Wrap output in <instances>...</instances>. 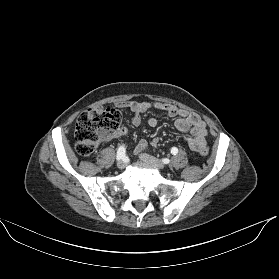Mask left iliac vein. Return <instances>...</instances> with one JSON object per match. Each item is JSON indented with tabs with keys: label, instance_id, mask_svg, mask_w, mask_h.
<instances>
[{
	"label": "left iliac vein",
	"instance_id": "left-iliac-vein-1",
	"mask_svg": "<svg viewBox=\"0 0 279 279\" xmlns=\"http://www.w3.org/2000/svg\"><path fill=\"white\" fill-rule=\"evenodd\" d=\"M139 158L145 162L155 165L158 169L164 170L165 164L162 163L160 160L148 155V154H140Z\"/></svg>",
	"mask_w": 279,
	"mask_h": 279
}]
</instances>
